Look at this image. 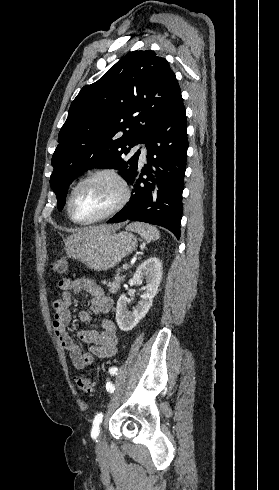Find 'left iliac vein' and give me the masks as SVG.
Masks as SVG:
<instances>
[{"mask_svg": "<svg viewBox=\"0 0 279 490\" xmlns=\"http://www.w3.org/2000/svg\"><path fill=\"white\" fill-rule=\"evenodd\" d=\"M105 448H106V438H105V435H103V433L101 432L99 434L96 451L99 453V452L104 451Z\"/></svg>", "mask_w": 279, "mask_h": 490, "instance_id": "4c4485c4", "label": "left iliac vein"}]
</instances>
